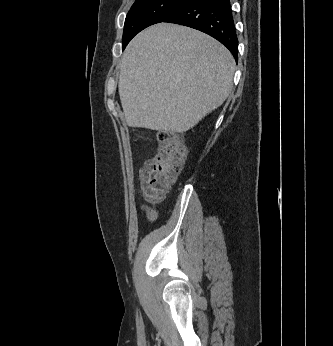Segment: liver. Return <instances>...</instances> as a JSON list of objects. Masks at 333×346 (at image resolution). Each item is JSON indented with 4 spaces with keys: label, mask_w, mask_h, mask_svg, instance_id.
Wrapping results in <instances>:
<instances>
[{
    "label": "liver",
    "mask_w": 333,
    "mask_h": 346,
    "mask_svg": "<svg viewBox=\"0 0 333 346\" xmlns=\"http://www.w3.org/2000/svg\"><path fill=\"white\" fill-rule=\"evenodd\" d=\"M235 61L226 47L188 27L160 23L123 53L119 95L130 127L183 133L228 97Z\"/></svg>",
    "instance_id": "liver-1"
}]
</instances>
